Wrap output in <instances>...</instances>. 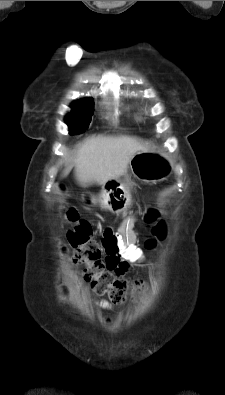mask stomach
Listing matches in <instances>:
<instances>
[{"mask_svg":"<svg viewBox=\"0 0 225 395\" xmlns=\"http://www.w3.org/2000/svg\"><path fill=\"white\" fill-rule=\"evenodd\" d=\"M129 168L135 178L146 183L162 181L170 173V165L163 156L147 151L137 152L130 160ZM83 200L86 202L88 196L84 195ZM130 200L129 186L121 180L112 179L102 186L100 203L111 212H122Z\"/></svg>","mask_w":225,"mask_h":395,"instance_id":"1","label":"stomach"}]
</instances>
